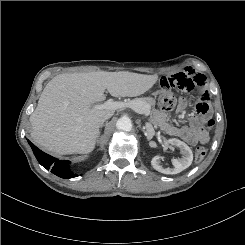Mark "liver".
<instances>
[{
	"instance_id": "liver-1",
	"label": "liver",
	"mask_w": 245,
	"mask_h": 245,
	"mask_svg": "<svg viewBox=\"0 0 245 245\" xmlns=\"http://www.w3.org/2000/svg\"><path fill=\"white\" fill-rule=\"evenodd\" d=\"M158 75L128 71L59 74L45 86L30 116L31 136L57 154H88L96 143L102 118L112 109H96L107 90L113 97H136L147 92Z\"/></svg>"
}]
</instances>
